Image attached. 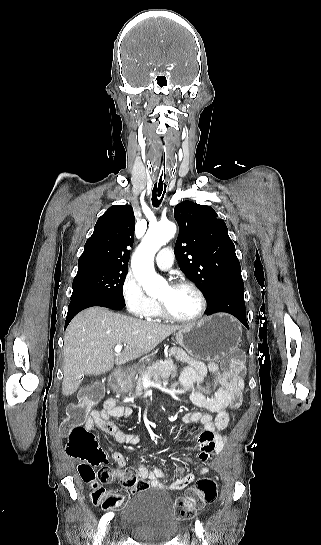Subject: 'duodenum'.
Returning a JSON list of instances; mask_svg holds the SVG:
<instances>
[{"mask_svg": "<svg viewBox=\"0 0 321 545\" xmlns=\"http://www.w3.org/2000/svg\"><path fill=\"white\" fill-rule=\"evenodd\" d=\"M125 379V375L122 371H115L110 377V383L114 388H119Z\"/></svg>", "mask_w": 321, "mask_h": 545, "instance_id": "410a0bca", "label": "duodenum"}]
</instances>
